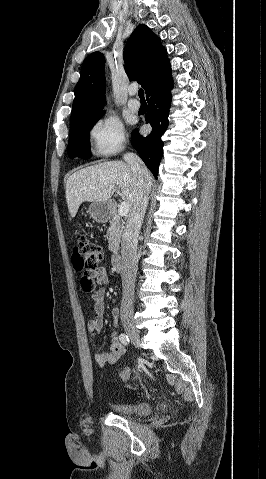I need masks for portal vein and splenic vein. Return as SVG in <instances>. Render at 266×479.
<instances>
[{
    "instance_id": "portal-vein-and-splenic-vein-1",
    "label": "portal vein and splenic vein",
    "mask_w": 266,
    "mask_h": 479,
    "mask_svg": "<svg viewBox=\"0 0 266 479\" xmlns=\"http://www.w3.org/2000/svg\"><path fill=\"white\" fill-rule=\"evenodd\" d=\"M91 188H94V187H91ZM110 188H113V186H110ZM117 193L120 195L119 191ZM128 212H129V204L126 202H122L118 209L119 216H126Z\"/></svg>"
}]
</instances>
